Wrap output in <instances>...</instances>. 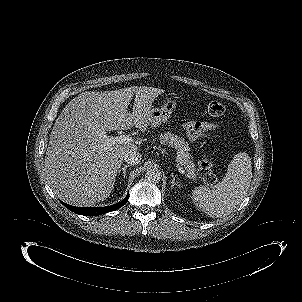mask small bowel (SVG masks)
Listing matches in <instances>:
<instances>
[{
    "mask_svg": "<svg viewBox=\"0 0 302 302\" xmlns=\"http://www.w3.org/2000/svg\"><path fill=\"white\" fill-rule=\"evenodd\" d=\"M184 130L190 140H197L210 137L217 130V125L205 121H188L184 124Z\"/></svg>",
    "mask_w": 302,
    "mask_h": 302,
    "instance_id": "1",
    "label": "small bowel"
}]
</instances>
